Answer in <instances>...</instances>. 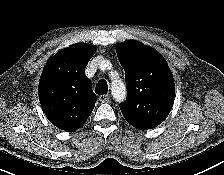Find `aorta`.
<instances>
[{"instance_id": "762f6f07", "label": "aorta", "mask_w": 224, "mask_h": 175, "mask_svg": "<svg viewBox=\"0 0 224 175\" xmlns=\"http://www.w3.org/2000/svg\"><path fill=\"white\" fill-rule=\"evenodd\" d=\"M113 97L117 101H122L126 97V87L123 81L121 80H113L112 81V88H111Z\"/></svg>"}]
</instances>
